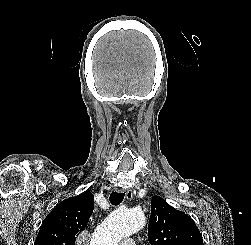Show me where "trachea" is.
Returning <instances> with one entry per match:
<instances>
[{"label":"trachea","instance_id":"1","mask_svg":"<svg viewBox=\"0 0 251 245\" xmlns=\"http://www.w3.org/2000/svg\"><path fill=\"white\" fill-rule=\"evenodd\" d=\"M124 199V193L112 192L110 194V202L112 205H119Z\"/></svg>","mask_w":251,"mask_h":245}]
</instances>
